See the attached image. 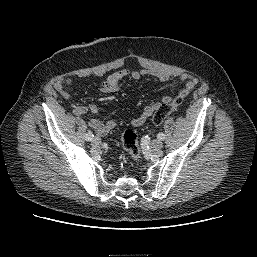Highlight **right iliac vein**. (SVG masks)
<instances>
[{
    "label": "right iliac vein",
    "mask_w": 257,
    "mask_h": 257,
    "mask_svg": "<svg viewBox=\"0 0 257 257\" xmlns=\"http://www.w3.org/2000/svg\"><path fill=\"white\" fill-rule=\"evenodd\" d=\"M92 144H93L94 146H99V145L101 144V139L98 138V137H95V138L93 139V141H92Z\"/></svg>",
    "instance_id": "right-iliac-vein-1"
}]
</instances>
